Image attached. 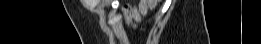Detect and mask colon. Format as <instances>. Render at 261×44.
I'll list each match as a JSON object with an SVG mask.
<instances>
[{
  "mask_svg": "<svg viewBox=\"0 0 261 44\" xmlns=\"http://www.w3.org/2000/svg\"><path fill=\"white\" fill-rule=\"evenodd\" d=\"M143 2L148 9H153L156 6L157 0H144Z\"/></svg>",
  "mask_w": 261,
  "mask_h": 44,
  "instance_id": "1",
  "label": "colon"
}]
</instances>
